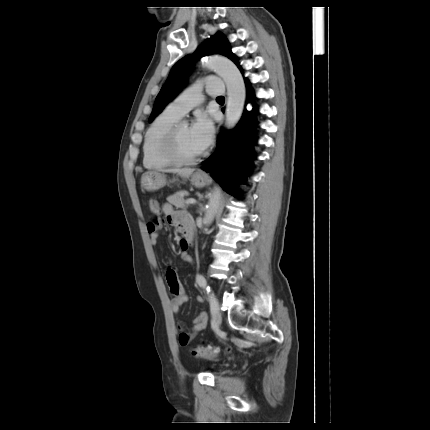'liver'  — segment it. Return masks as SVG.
Masks as SVG:
<instances>
[{"instance_id": "1", "label": "liver", "mask_w": 430, "mask_h": 430, "mask_svg": "<svg viewBox=\"0 0 430 430\" xmlns=\"http://www.w3.org/2000/svg\"><path fill=\"white\" fill-rule=\"evenodd\" d=\"M163 172L177 173L185 178H188L194 172V169H191V168L167 169V170H163Z\"/></svg>"}]
</instances>
